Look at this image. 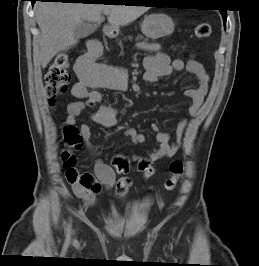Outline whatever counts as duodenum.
<instances>
[{
    "mask_svg": "<svg viewBox=\"0 0 259 266\" xmlns=\"http://www.w3.org/2000/svg\"><path fill=\"white\" fill-rule=\"evenodd\" d=\"M106 35L108 37H112L113 36V33H112V31L109 28L106 29ZM90 49L95 54H98L100 52V50H101L100 46L98 44H93Z\"/></svg>",
    "mask_w": 259,
    "mask_h": 266,
    "instance_id": "1",
    "label": "duodenum"
}]
</instances>
